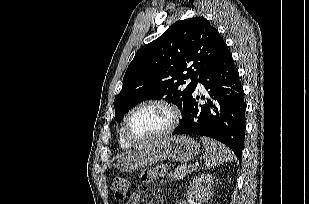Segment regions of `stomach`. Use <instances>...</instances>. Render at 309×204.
Here are the masks:
<instances>
[{
    "mask_svg": "<svg viewBox=\"0 0 309 204\" xmlns=\"http://www.w3.org/2000/svg\"><path fill=\"white\" fill-rule=\"evenodd\" d=\"M199 152L200 146L193 138L185 135L169 136L142 145L120 159L116 167L122 172H129L168 159L187 162Z\"/></svg>",
    "mask_w": 309,
    "mask_h": 204,
    "instance_id": "obj_1",
    "label": "stomach"
}]
</instances>
